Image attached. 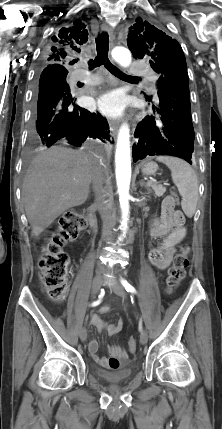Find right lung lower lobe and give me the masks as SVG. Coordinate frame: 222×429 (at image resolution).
<instances>
[{
  "mask_svg": "<svg viewBox=\"0 0 222 429\" xmlns=\"http://www.w3.org/2000/svg\"><path fill=\"white\" fill-rule=\"evenodd\" d=\"M33 133L48 147L56 143L80 147L87 138L110 141L106 119L77 106L66 79L51 65L43 69L38 81Z\"/></svg>",
  "mask_w": 222,
  "mask_h": 429,
  "instance_id": "1",
  "label": "right lung lower lobe"
}]
</instances>
